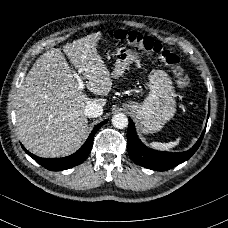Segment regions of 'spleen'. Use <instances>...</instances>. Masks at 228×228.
Returning <instances> with one entry per match:
<instances>
[{"instance_id":"spleen-1","label":"spleen","mask_w":228,"mask_h":228,"mask_svg":"<svg viewBox=\"0 0 228 228\" xmlns=\"http://www.w3.org/2000/svg\"><path fill=\"white\" fill-rule=\"evenodd\" d=\"M180 138H177L174 142L169 143H160V142H152L150 143V146L158 149V150H170L171 148H174L179 144Z\"/></svg>"}]
</instances>
